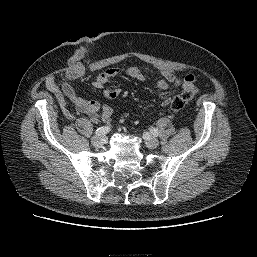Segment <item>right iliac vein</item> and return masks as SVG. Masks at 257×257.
Masks as SVG:
<instances>
[{
  "instance_id": "right-iliac-vein-1",
  "label": "right iliac vein",
  "mask_w": 257,
  "mask_h": 257,
  "mask_svg": "<svg viewBox=\"0 0 257 257\" xmlns=\"http://www.w3.org/2000/svg\"><path fill=\"white\" fill-rule=\"evenodd\" d=\"M91 142L94 145V147L100 148L105 143V140L103 138L99 137V136H94L92 138Z\"/></svg>"
}]
</instances>
